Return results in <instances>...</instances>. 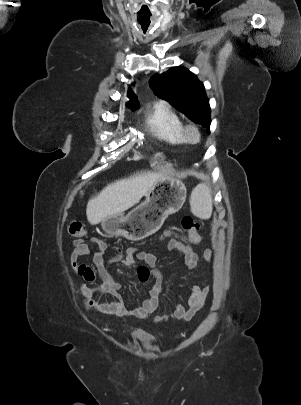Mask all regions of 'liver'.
I'll return each mask as SVG.
<instances>
[{"label":"liver","instance_id":"liver-1","mask_svg":"<svg viewBox=\"0 0 301 405\" xmlns=\"http://www.w3.org/2000/svg\"><path fill=\"white\" fill-rule=\"evenodd\" d=\"M164 176L157 172H140L108 184L87 204L86 215L91 224L122 214L146 196L151 187Z\"/></svg>","mask_w":301,"mask_h":405}]
</instances>
